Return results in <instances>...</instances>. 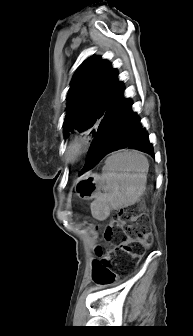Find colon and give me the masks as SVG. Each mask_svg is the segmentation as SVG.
I'll use <instances>...</instances> for the list:
<instances>
[{
  "label": "colon",
  "mask_w": 193,
  "mask_h": 336,
  "mask_svg": "<svg viewBox=\"0 0 193 336\" xmlns=\"http://www.w3.org/2000/svg\"><path fill=\"white\" fill-rule=\"evenodd\" d=\"M103 237L105 243L113 248L99 246L96 249L99 260L94 265V278L102 284L110 283L115 278V272L112 270L114 257L135 259L152 244L148 222L139 218L135 211L128 209H121L115 213L104 228Z\"/></svg>",
  "instance_id": "colon-1"
}]
</instances>
